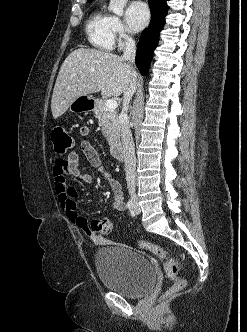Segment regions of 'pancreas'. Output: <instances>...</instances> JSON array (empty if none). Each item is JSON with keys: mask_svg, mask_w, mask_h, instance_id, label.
I'll return each instance as SVG.
<instances>
[{"mask_svg": "<svg viewBox=\"0 0 247 332\" xmlns=\"http://www.w3.org/2000/svg\"><path fill=\"white\" fill-rule=\"evenodd\" d=\"M105 102V100H97L94 113L109 145L116 147L120 144V126L117 119V111L107 108Z\"/></svg>", "mask_w": 247, "mask_h": 332, "instance_id": "pancreas-1", "label": "pancreas"}]
</instances>
